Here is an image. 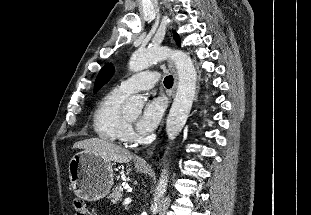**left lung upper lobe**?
<instances>
[{"label": "left lung upper lobe", "mask_w": 311, "mask_h": 215, "mask_svg": "<svg viewBox=\"0 0 311 215\" xmlns=\"http://www.w3.org/2000/svg\"><path fill=\"white\" fill-rule=\"evenodd\" d=\"M174 39L177 42L178 45H180V39L177 34H174ZM114 72V69L111 64H106L99 72L96 82H95V87L94 90L97 91L100 89L105 83L109 81L111 78L112 74Z\"/></svg>", "instance_id": "obj_1"}]
</instances>
